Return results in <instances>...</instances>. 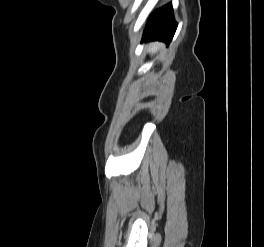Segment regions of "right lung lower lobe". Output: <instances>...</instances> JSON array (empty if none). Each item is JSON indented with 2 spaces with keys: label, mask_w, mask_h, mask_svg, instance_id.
<instances>
[{
  "label": "right lung lower lobe",
  "mask_w": 264,
  "mask_h": 247,
  "mask_svg": "<svg viewBox=\"0 0 264 247\" xmlns=\"http://www.w3.org/2000/svg\"><path fill=\"white\" fill-rule=\"evenodd\" d=\"M177 23L173 18L171 3L158 9L150 17L143 34V40H159L169 44L174 36Z\"/></svg>",
  "instance_id": "right-lung-lower-lobe-1"
}]
</instances>
